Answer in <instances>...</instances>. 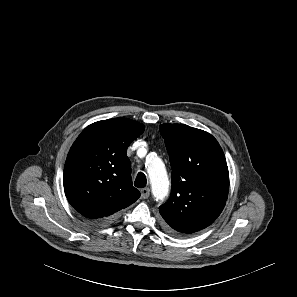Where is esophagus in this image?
I'll list each match as a JSON object with an SVG mask.
<instances>
[{
    "label": "esophagus",
    "mask_w": 297,
    "mask_h": 297,
    "mask_svg": "<svg viewBox=\"0 0 297 297\" xmlns=\"http://www.w3.org/2000/svg\"><path fill=\"white\" fill-rule=\"evenodd\" d=\"M150 196V189L149 188H143L141 189V198L147 199Z\"/></svg>",
    "instance_id": "esophagus-1"
}]
</instances>
